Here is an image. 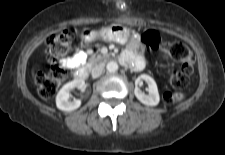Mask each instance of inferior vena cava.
Wrapping results in <instances>:
<instances>
[{"mask_svg": "<svg viewBox=\"0 0 225 155\" xmlns=\"http://www.w3.org/2000/svg\"><path fill=\"white\" fill-rule=\"evenodd\" d=\"M104 71V64L100 63L94 66L91 70V74L93 78L99 77Z\"/></svg>", "mask_w": 225, "mask_h": 155, "instance_id": "602c4592", "label": "inferior vena cava"}]
</instances>
